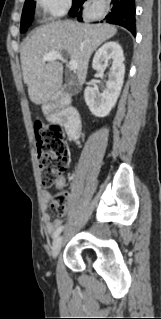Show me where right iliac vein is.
<instances>
[{
	"label": "right iliac vein",
	"mask_w": 161,
	"mask_h": 319,
	"mask_svg": "<svg viewBox=\"0 0 161 319\" xmlns=\"http://www.w3.org/2000/svg\"><path fill=\"white\" fill-rule=\"evenodd\" d=\"M63 245V236H59L53 243L52 246V257L55 259L61 251Z\"/></svg>",
	"instance_id": "63e3f726"
}]
</instances>
